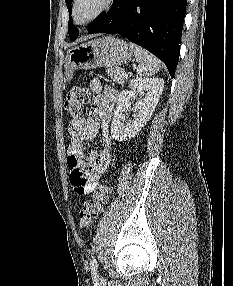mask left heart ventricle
Wrapping results in <instances>:
<instances>
[{
	"instance_id": "b2bd125f",
	"label": "left heart ventricle",
	"mask_w": 233,
	"mask_h": 286,
	"mask_svg": "<svg viewBox=\"0 0 233 286\" xmlns=\"http://www.w3.org/2000/svg\"><path fill=\"white\" fill-rule=\"evenodd\" d=\"M104 0H80L76 7V19L84 21L95 14L103 5Z\"/></svg>"
}]
</instances>
